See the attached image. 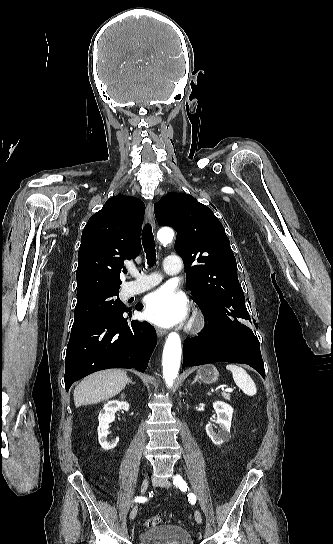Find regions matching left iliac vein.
I'll use <instances>...</instances> for the list:
<instances>
[{
	"label": "left iliac vein",
	"mask_w": 333,
	"mask_h": 544,
	"mask_svg": "<svg viewBox=\"0 0 333 544\" xmlns=\"http://www.w3.org/2000/svg\"><path fill=\"white\" fill-rule=\"evenodd\" d=\"M153 483L157 486L164 487V488H169L171 486L170 482L167 479H163V478H154ZM194 517L196 522L198 524H201L202 516L198 510L195 511Z\"/></svg>",
	"instance_id": "4c4485c4"
}]
</instances>
